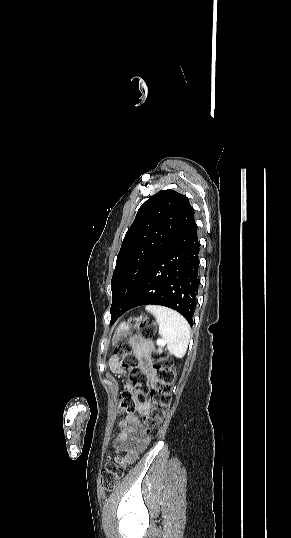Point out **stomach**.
<instances>
[{"label": "stomach", "instance_id": "obj_1", "mask_svg": "<svg viewBox=\"0 0 291 538\" xmlns=\"http://www.w3.org/2000/svg\"><path fill=\"white\" fill-rule=\"evenodd\" d=\"M129 331V325L127 323H121L115 330L114 336H113V343H116L119 341L120 337H122L125 333ZM112 361V359H111ZM110 361V365H111Z\"/></svg>", "mask_w": 291, "mask_h": 538}]
</instances>
